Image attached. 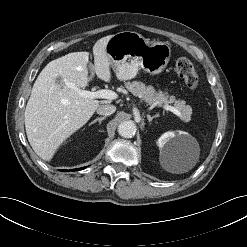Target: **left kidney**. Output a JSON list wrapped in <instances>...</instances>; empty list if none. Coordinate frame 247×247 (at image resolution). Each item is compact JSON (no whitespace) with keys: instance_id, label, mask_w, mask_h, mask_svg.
<instances>
[{"instance_id":"5707ae66","label":"left kidney","mask_w":247,"mask_h":247,"mask_svg":"<svg viewBox=\"0 0 247 247\" xmlns=\"http://www.w3.org/2000/svg\"><path fill=\"white\" fill-rule=\"evenodd\" d=\"M192 142L193 138L186 132H166L158 139L157 145L166 158L175 163H183L186 159L184 154Z\"/></svg>"}]
</instances>
